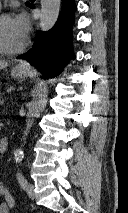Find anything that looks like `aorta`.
<instances>
[{
	"mask_svg": "<svg viewBox=\"0 0 128 213\" xmlns=\"http://www.w3.org/2000/svg\"><path fill=\"white\" fill-rule=\"evenodd\" d=\"M61 7V0H41V13H40V28L43 31L50 30L56 23ZM42 84H40L36 91L35 97L38 98L42 94ZM40 106L38 102L34 101L28 104V116L33 117L39 112ZM33 125V120L29 118L26 120V127L23 133V141L25 143L26 136ZM22 141V140H21ZM23 146V145H22ZM24 158V151L20 147L14 151V160L16 163H21Z\"/></svg>",
	"mask_w": 128,
	"mask_h": 213,
	"instance_id": "1",
	"label": "aorta"
}]
</instances>
